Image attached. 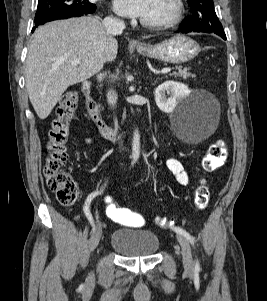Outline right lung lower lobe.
<instances>
[{
  "instance_id": "right-lung-lower-lobe-1",
  "label": "right lung lower lobe",
  "mask_w": 267,
  "mask_h": 301,
  "mask_svg": "<svg viewBox=\"0 0 267 301\" xmlns=\"http://www.w3.org/2000/svg\"><path fill=\"white\" fill-rule=\"evenodd\" d=\"M93 12H89V13H93ZM89 13H76V14L57 13V14H52V15L47 16L44 19L36 21L35 22V27H38L39 25H42V24H44L46 22H49V21L58 20V19H67V18H70V17H79V16H82V15H88ZM35 27L33 28V31H34Z\"/></svg>"
}]
</instances>
